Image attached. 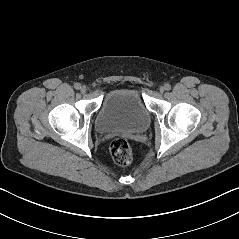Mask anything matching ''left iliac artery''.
<instances>
[{"mask_svg":"<svg viewBox=\"0 0 239 239\" xmlns=\"http://www.w3.org/2000/svg\"><path fill=\"white\" fill-rule=\"evenodd\" d=\"M165 89L167 90V91H169L170 89H171V86H170V84H165Z\"/></svg>","mask_w":239,"mask_h":239,"instance_id":"left-iliac-artery-1","label":"left iliac artery"}]
</instances>
